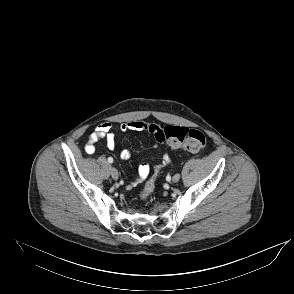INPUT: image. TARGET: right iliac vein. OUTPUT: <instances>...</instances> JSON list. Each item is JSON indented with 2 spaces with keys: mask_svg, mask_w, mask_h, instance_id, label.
I'll list each match as a JSON object with an SVG mask.
<instances>
[{
  "mask_svg": "<svg viewBox=\"0 0 294 294\" xmlns=\"http://www.w3.org/2000/svg\"><path fill=\"white\" fill-rule=\"evenodd\" d=\"M111 176L114 180H117L119 178V173L115 168L111 169Z\"/></svg>",
  "mask_w": 294,
  "mask_h": 294,
  "instance_id": "63e3f726",
  "label": "right iliac vein"
}]
</instances>
